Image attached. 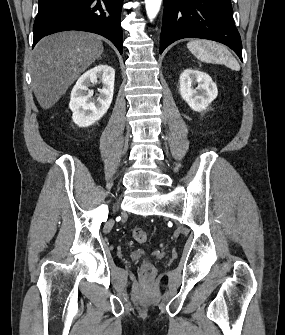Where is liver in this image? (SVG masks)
Here are the masks:
<instances>
[{
    "instance_id": "1",
    "label": "liver",
    "mask_w": 285,
    "mask_h": 335,
    "mask_svg": "<svg viewBox=\"0 0 285 335\" xmlns=\"http://www.w3.org/2000/svg\"><path fill=\"white\" fill-rule=\"evenodd\" d=\"M100 36L88 32H60L43 38L30 62L32 88L43 110L52 108L71 84L101 58Z\"/></svg>"
}]
</instances>
